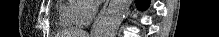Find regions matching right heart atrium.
<instances>
[{
	"instance_id": "d8ad5b80",
	"label": "right heart atrium",
	"mask_w": 219,
	"mask_h": 37,
	"mask_svg": "<svg viewBox=\"0 0 219 37\" xmlns=\"http://www.w3.org/2000/svg\"><path fill=\"white\" fill-rule=\"evenodd\" d=\"M76 4L79 7L78 18L82 23H86L94 17L96 7L92 0H77Z\"/></svg>"
}]
</instances>
